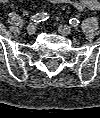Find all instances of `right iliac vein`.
Masks as SVG:
<instances>
[{"instance_id": "1", "label": "right iliac vein", "mask_w": 100, "mask_h": 118, "mask_svg": "<svg viewBox=\"0 0 100 118\" xmlns=\"http://www.w3.org/2000/svg\"><path fill=\"white\" fill-rule=\"evenodd\" d=\"M27 31L29 34H34L37 31V25L35 23H31L27 27Z\"/></svg>"}]
</instances>
